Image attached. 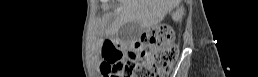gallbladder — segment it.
Here are the masks:
<instances>
[{
	"label": "gallbladder",
	"instance_id": "obj_1",
	"mask_svg": "<svg viewBox=\"0 0 258 77\" xmlns=\"http://www.w3.org/2000/svg\"><path fill=\"white\" fill-rule=\"evenodd\" d=\"M141 31V26L138 22H127L119 29L118 36L125 42L136 39Z\"/></svg>",
	"mask_w": 258,
	"mask_h": 77
}]
</instances>
